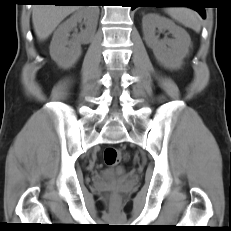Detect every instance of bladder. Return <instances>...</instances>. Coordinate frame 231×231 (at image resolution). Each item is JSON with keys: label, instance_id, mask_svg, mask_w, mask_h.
<instances>
[{"label": "bladder", "instance_id": "bladder-1", "mask_svg": "<svg viewBox=\"0 0 231 231\" xmlns=\"http://www.w3.org/2000/svg\"><path fill=\"white\" fill-rule=\"evenodd\" d=\"M126 177L127 172L124 169H105L96 176V179L101 182H117Z\"/></svg>", "mask_w": 231, "mask_h": 231}]
</instances>
